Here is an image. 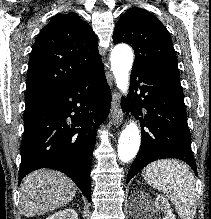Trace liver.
<instances>
[{
    "instance_id": "1",
    "label": "liver",
    "mask_w": 211,
    "mask_h": 219,
    "mask_svg": "<svg viewBox=\"0 0 211 219\" xmlns=\"http://www.w3.org/2000/svg\"><path fill=\"white\" fill-rule=\"evenodd\" d=\"M77 186L63 173L40 169L26 176L20 186L24 216L34 217L59 209L76 195Z\"/></svg>"
}]
</instances>
